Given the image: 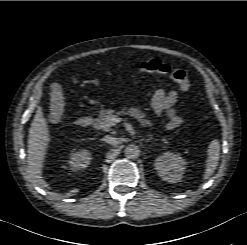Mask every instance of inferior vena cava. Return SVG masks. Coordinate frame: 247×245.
Here are the masks:
<instances>
[{"mask_svg":"<svg viewBox=\"0 0 247 245\" xmlns=\"http://www.w3.org/2000/svg\"><path fill=\"white\" fill-rule=\"evenodd\" d=\"M103 140H104L105 142H107L108 144H110V145H115V144L118 143V139L115 138V137H113V136H111V135H106V136L103 138Z\"/></svg>","mask_w":247,"mask_h":245,"instance_id":"inferior-vena-cava-1","label":"inferior vena cava"}]
</instances>
